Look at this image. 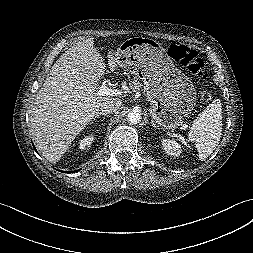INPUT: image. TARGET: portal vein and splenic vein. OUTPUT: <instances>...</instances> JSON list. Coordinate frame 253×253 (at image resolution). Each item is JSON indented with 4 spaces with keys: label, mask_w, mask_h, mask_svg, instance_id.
<instances>
[{
    "label": "portal vein and splenic vein",
    "mask_w": 253,
    "mask_h": 253,
    "mask_svg": "<svg viewBox=\"0 0 253 253\" xmlns=\"http://www.w3.org/2000/svg\"><path fill=\"white\" fill-rule=\"evenodd\" d=\"M97 93L100 96H118L121 94L119 90L109 89L108 86L105 84V82L100 86Z\"/></svg>",
    "instance_id": "obj_1"
}]
</instances>
